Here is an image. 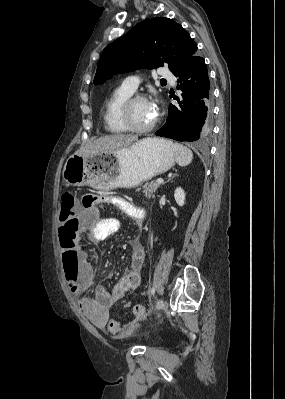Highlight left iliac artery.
I'll list each match as a JSON object with an SVG mask.
<instances>
[{
	"label": "left iliac artery",
	"mask_w": 285,
	"mask_h": 399,
	"mask_svg": "<svg viewBox=\"0 0 285 399\" xmlns=\"http://www.w3.org/2000/svg\"><path fill=\"white\" fill-rule=\"evenodd\" d=\"M155 293V288L153 287L152 289H151V294H154Z\"/></svg>",
	"instance_id": "obj_1"
}]
</instances>
